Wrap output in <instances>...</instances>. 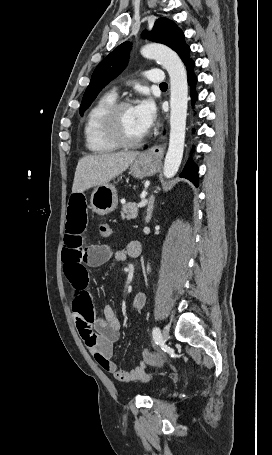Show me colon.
<instances>
[{"label":"colon","mask_w":272,"mask_h":455,"mask_svg":"<svg viewBox=\"0 0 272 455\" xmlns=\"http://www.w3.org/2000/svg\"><path fill=\"white\" fill-rule=\"evenodd\" d=\"M99 233L102 238H104V239L109 238L112 233L110 225L106 222L100 223L99 224ZM142 359L144 362H146L148 364H154L159 361L158 355L150 350L142 351Z\"/></svg>","instance_id":"1"}]
</instances>
